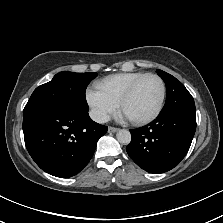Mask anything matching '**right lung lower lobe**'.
Returning <instances> with one entry per match:
<instances>
[{"instance_id": "obj_1", "label": "right lung lower lobe", "mask_w": 223, "mask_h": 223, "mask_svg": "<svg viewBox=\"0 0 223 223\" xmlns=\"http://www.w3.org/2000/svg\"><path fill=\"white\" fill-rule=\"evenodd\" d=\"M108 128L75 109H41L23 114L26 148L45 172L60 178L79 173Z\"/></svg>"}]
</instances>
